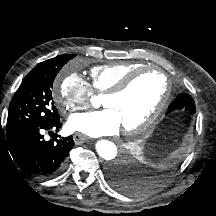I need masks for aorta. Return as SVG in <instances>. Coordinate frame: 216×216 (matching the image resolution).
<instances>
[{
    "instance_id": "762f6f07",
    "label": "aorta",
    "mask_w": 216,
    "mask_h": 216,
    "mask_svg": "<svg viewBox=\"0 0 216 216\" xmlns=\"http://www.w3.org/2000/svg\"><path fill=\"white\" fill-rule=\"evenodd\" d=\"M96 151L105 160H112L117 155L116 145L109 140H100L96 143Z\"/></svg>"
}]
</instances>
